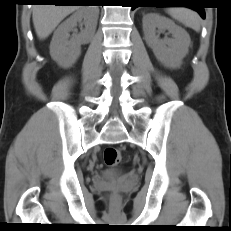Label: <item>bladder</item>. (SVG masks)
Instances as JSON below:
<instances>
[{"mask_svg":"<svg viewBox=\"0 0 231 231\" xmlns=\"http://www.w3.org/2000/svg\"><path fill=\"white\" fill-rule=\"evenodd\" d=\"M123 176V172H117L114 170H104L99 174V179L107 182H113Z\"/></svg>","mask_w":231,"mask_h":231,"instance_id":"31cf9c89","label":"bladder"}]
</instances>
